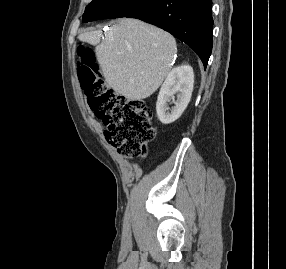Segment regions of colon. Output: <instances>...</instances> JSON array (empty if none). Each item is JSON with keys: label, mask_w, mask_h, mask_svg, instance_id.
Listing matches in <instances>:
<instances>
[{"label": "colon", "mask_w": 286, "mask_h": 269, "mask_svg": "<svg viewBox=\"0 0 286 269\" xmlns=\"http://www.w3.org/2000/svg\"><path fill=\"white\" fill-rule=\"evenodd\" d=\"M77 69L90 107L106 126L107 140L129 158H143L155 137L152 112L143 100H129L109 90L99 77L94 54L80 47Z\"/></svg>", "instance_id": "1"}]
</instances>
